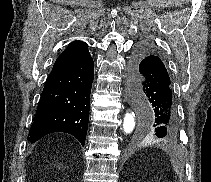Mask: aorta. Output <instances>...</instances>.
Segmentation results:
<instances>
[{"instance_id":"1","label":"aorta","mask_w":211,"mask_h":182,"mask_svg":"<svg viewBox=\"0 0 211 182\" xmlns=\"http://www.w3.org/2000/svg\"><path fill=\"white\" fill-rule=\"evenodd\" d=\"M136 126V114L132 111H127L123 120V131L126 134L131 133Z\"/></svg>"}]
</instances>
